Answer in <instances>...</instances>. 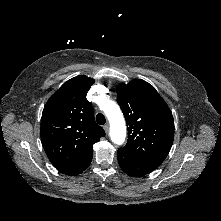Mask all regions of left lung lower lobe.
<instances>
[{
    "instance_id": "left-lung-lower-lobe-1",
    "label": "left lung lower lobe",
    "mask_w": 221,
    "mask_h": 221,
    "mask_svg": "<svg viewBox=\"0 0 221 221\" xmlns=\"http://www.w3.org/2000/svg\"><path fill=\"white\" fill-rule=\"evenodd\" d=\"M117 157L121 169L132 177L144 176L156 169L137 160L120 149L118 150Z\"/></svg>"
}]
</instances>
